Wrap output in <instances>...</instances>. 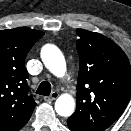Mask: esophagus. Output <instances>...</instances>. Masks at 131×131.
<instances>
[{
    "label": "esophagus",
    "mask_w": 131,
    "mask_h": 131,
    "mask_svg": "<svg viewBox=\"0 0 131 131\" xmlns=\"http://www.w3.org/2000/svg\"><path fill=\"white\" fill-rule=\"evenodd\" d=\"M59 96V94L57 92H52V94L48 97V96H44L43 99L46 102H52L55 99H57Z\"/></svg>",
    "instance_id": "1"
}]
</instances>
